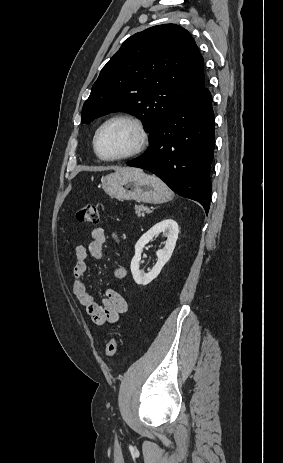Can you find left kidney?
Here are the masks:
<instances>
[{
	"label": "left kidney",
	"mask_w": 283,
	"mask_h": 463,
	"mask_svg": "<svg viewBox=\"0 0 283 463\" xmlns=\"http://www.w3.org/2000/svg\"><path fill=\"white\" fill-rule=\"evenodd\" d=\"M160 233H163V236L167 237V240L165 241V246L163 249H160L156 252L158 261L152 268V270L148 273H143L140 270V260L143 248L155 236H158ZM178 234L179 228L177 222L172 219H165L155 224L152 228H150L145 234H143L140 237V239L135 244V255L131 261V273L134 281L138 285H147L159 275L163 266L171 258V255L176 245Z\"/></svg>",
	"instance_id": "left-kidney-1"
}]
</instances>
